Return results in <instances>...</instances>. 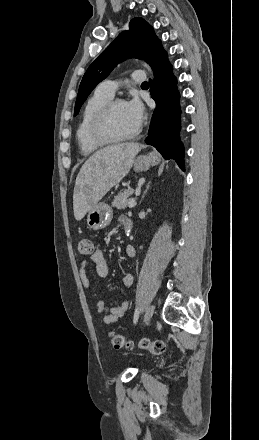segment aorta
<instances>
[{"label": "aorta", "mask_w": 259, "mask_h": 440, "mask_svg": "<svg viewBox=\"0 0 259 440\" xmlns=\"http://www.w3.org/2000/svg\"><path fill=\"white\" fill-rule=\"evenodd\" d=\"M144 67H146L151 72V68L149 67L148 64L144 63Z\"/></svg>", "instance_id": "obj_1"}]
</instances>
